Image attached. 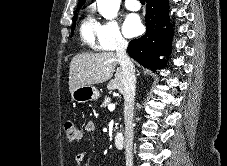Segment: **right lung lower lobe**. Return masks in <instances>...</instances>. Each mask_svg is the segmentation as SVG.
Segmentation results:
<instances>
[{"mask_svg": "<svg viewBox=\"0 0 227 166\" xmlns=\"http://www.w3.org/2000/svg\"><path fill=\"white\" fill-rule=\"evenodd\" d=\"M147 31L141 38L129 43L128 53L142 66L153 71L162 68L165 60L159 56L167 55L170 50L172 28L169 22L168 0H146ZM166 26V28H164Z\"/></svg>", "mask_w": 227, "mask_h": 166, "instance_id": "obj_1", "label": "right lung lower lobe"}]
</instances>
